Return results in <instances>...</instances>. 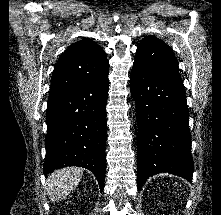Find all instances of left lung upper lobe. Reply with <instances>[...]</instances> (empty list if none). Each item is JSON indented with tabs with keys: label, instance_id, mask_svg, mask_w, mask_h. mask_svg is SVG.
I'll return each instance as SVG.
<instances>
[{
	"label": "left lung upper lobe",
	"instance_id": "left-lung-upper-lobe-1",
	"mask_svg": "<svg viewBox=\"0 0 221 215\" xmlns=\"http://www.w3.org/2000/svg\"><path fill=\"white\" fill-rule=\"evenodd\" d=\"M136 52L134 63L181 80L178 63L171 47L159 38L154 36L145 37L141 40Z\"/></svg>",
	"mask_w": 221,
	"mask_h": 215
}]
</instances>
